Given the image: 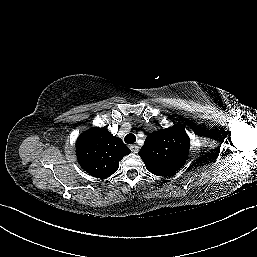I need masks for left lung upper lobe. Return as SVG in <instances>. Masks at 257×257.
Instances as JSON below:
<instances>
[{"instance_id":"5c2ea615","label":"left lung upper lobe","mask_w":257,"mask_h":257,"mask_svg":"<svg viewBox=\"0 0 257 257\" xmlns=\"http://www.w3.org/2000/svg\"><path fill=\"white\" fill-rule=\"evenodd\" d=\"M190 139L178 127H170L150 133L139 155L147 169L157 176L169 177L186 162Z\"/></svg>"}]
</instances>
